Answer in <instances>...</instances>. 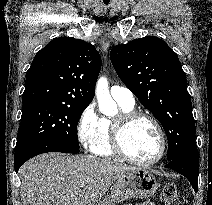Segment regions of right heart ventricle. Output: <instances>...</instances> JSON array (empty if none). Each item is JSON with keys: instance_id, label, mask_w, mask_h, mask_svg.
<instances>
[{"instance_id": "e07e8e85", "label": "right heart ventricle", "mask_w": 212, "mask_h": 205, "mask_svg": "<svg viewBox=\"0 0 212 205\" xmlns=\"http://www.w3.org/2000/svg\"><path fill=\"white\" fill-rule=\"evenodd\" d=\"M118 105L122 112L133 109V106L130 107L121 103H118ZM111 123L112 121L109 118H100L98 135L94 143L89 148L96 156L103 158H115L117 156L111 146Z\"/></svg>"}]
</instances>
